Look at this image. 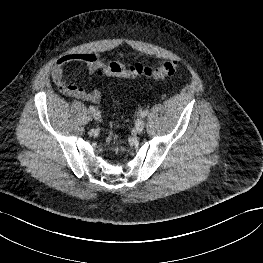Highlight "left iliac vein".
<instances>
[{"label":"left iliac vein","instance_id":"left-iliac-vein-1","mask_svg":"<svg viewBox=\"0 0 263 263\" xmlns=\"http://www.w3.org/2000/svg\"><path fill=\"white\" fill-rule=\"evenodd\" d=\"M145 126V121L142 118H139L136 120L135 122V128L137 131H142L144 129Z\"/></svg>","mask_w":263,"mask_h":263}]
</instances>
